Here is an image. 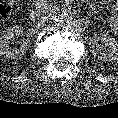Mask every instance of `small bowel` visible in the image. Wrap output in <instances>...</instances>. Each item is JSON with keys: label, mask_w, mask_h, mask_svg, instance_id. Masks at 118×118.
<instances>
[{"label": "small bowel", "mask_w": 118, "mask_h": 118, "mask_svg": "<svg viewBox=\"0 0 118 118\" xmlns=\"http://www.w3.org/2000/svg\"><path fill=\"white\" fill-rule=\"evenodd\" d=\"M116 6H118V1H117V3H116ZM118 29V28H117Z\"/></svg>", "instance_id": "c3829d8e"}]
</instances>
